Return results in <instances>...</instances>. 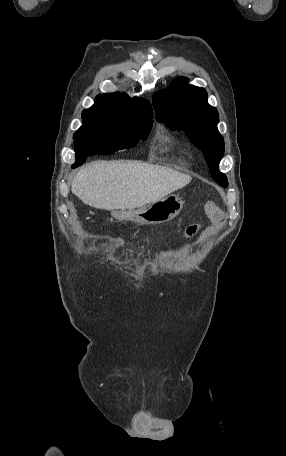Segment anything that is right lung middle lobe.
<instances>
[{
  "label": "right lung middle lobe",
  "instance_id": "right-lung-middle-lobe-1",
  "mask_svg": "<svg viewBox=\"0 0 286 456\" xmlns=\"http://www.w3.org/2000/svg\"><path fill=\"white\" fill-rule=\"evenodd\" d=\"M83 125L74 134L76 168L88 156L112 154L133 147L139 140H146L152 119H128L106 112L84 110Z\"/></svg>",
  "mask_w": 286,
  "mask_h": 456
}]
</instances>
